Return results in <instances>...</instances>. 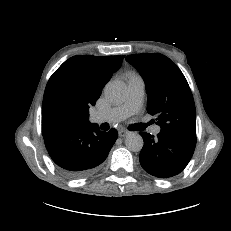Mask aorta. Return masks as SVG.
<instances>
[{
	"label": "aorta",
	"mask_w": 231,
	"mask_h": 231,
	"mask_svg": "<svg viewBox=\"0 0 231 231\" xmlns=\"http://www.w3.org/2000/svg\"><path fill=\"white\" fill-rule=\"evenodd\" d=\"M106 97L115 103H120L126 96V85L122 81H110L104 88ZM143 138L137 132H130L125 138V145L132 152H139L143 147Z\"/></svg>",
	"instance_id": "obj_1"
}]
</instances>
